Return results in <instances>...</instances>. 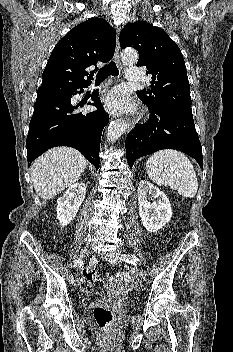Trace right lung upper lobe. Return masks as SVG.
Wrapping results in <instances>:
<instances>
[{
  "mask_svg": "<svg viewBox=\"0 0 233 352\" xmlns=\"http://www.w3.org/2000/svg\"><path fill=\"white\" fill-rule=\"evenodd\" d=\"M115 30L103 18H91L70 30L53 49L43 71L41 87H77L91 83L96 63L112 59ZM95 65V70L87 68Z\"/></svg>",
  "mask_w": 233,
  "mask_h": 352,
  "instance_id": "right-lung-upper-lobe-1",
  "label": "right lung upper lobe"
}]
</instances>
